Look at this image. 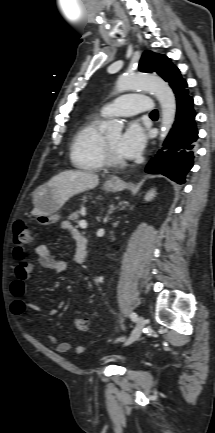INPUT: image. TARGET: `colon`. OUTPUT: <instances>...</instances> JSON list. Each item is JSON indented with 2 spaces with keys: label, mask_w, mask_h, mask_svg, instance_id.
Returning a JSON list of instances; mask_svg holds the SVG:
<instances>
[{
  "label": "colon",
  "mask_w": 215,
  "mask_h": 433,
  "mask_svg": "<svg viewBox=\"0 0 215 433\" xmlns=\"http://www.w3.org/2000/svg\"><path fill=\"white\" fill-rule=\"evenodd\" d=\"M34 233L32 228L25 222L19 221L14 226V242L18 247L17 250L20 252L19 256H23L21 253L23 251L22 247L33 242ZM75 326L77 330L81 332H86L91 329V323L85 318H77L75 320Z\"/></svg>",
  "instance_id": "colon-1"
}]
</instances>
